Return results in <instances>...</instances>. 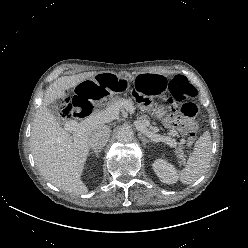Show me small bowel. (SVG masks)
<instances>
[{
	"label": "small bowel",
	"instance_id": "obj_1",
	"mask_svg": "<svg viewBox=\"0 0 248 248\" xmlns=\"http://www.w3.org/2000/svg\"><path fill=\"white\" fill-rule=\"evenodd\" d=\"M169 125L172 127H176L178 128L182 133L186 134V132L192 128V124L189 123H185L182 124L180 121L178 120H171L169 121Z\"/></svg>",
	"mask_w": 248,
	"mask_h": 248
}]
</instances>
